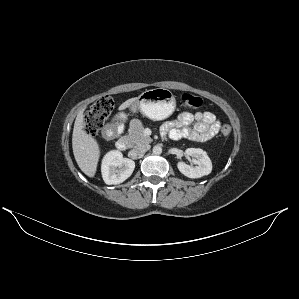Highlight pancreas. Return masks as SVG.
<instances>
[{"instance_id": "pancreas-1", "label": "pancreas", "mask_w": 299, "mask_h": 299, "mask_svg": "<svg viewBox=\"0 0 299 299\" xmlns=\"http://www.w3.org/2000/svg\"><path fill=\"white\" fill-rule=\"evenodd\" d=\"M128 139L133 145L148 144L152 142L151 137L144 134L143 125L141 123L136 124L134 121L130 124Z\"/></svg>"}]
</instances>
